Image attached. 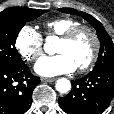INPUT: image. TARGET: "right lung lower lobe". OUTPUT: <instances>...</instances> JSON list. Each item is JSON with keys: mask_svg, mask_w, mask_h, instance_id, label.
Returning <instances> with one entry per match:
<instances>
[{"mask_svg": "<svg viewBox=\"0 0 114 114\" xmlns=\"http://www.w3.org/2000/svg\"><path fill=\"white\" fill-rule=\"evenodd\" d=\"M40 79L28 66L0 68V114H23L30 108L32 92Z\"/></svg>", "mask_w": 114, "mask_h": 114, "instance_id": "right-lung-lower-lobe-1", "label": "right lung lower lobe"}]
</instances>
